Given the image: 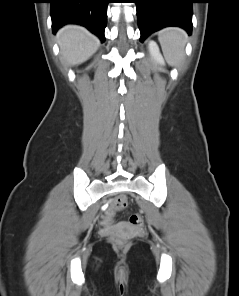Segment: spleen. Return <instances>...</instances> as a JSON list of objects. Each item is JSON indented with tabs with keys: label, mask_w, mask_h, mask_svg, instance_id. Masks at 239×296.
<instances>
[{
	"label": "spleen",
	"mask_w": 239,
	"mask_h": 296,
	"mask_svg": "<svg viewBox=\"0 0 239 296\" xmlns=\"http://www.w3.org/2000/svg\"><path fill=\"white\" fill-rule=\"evenodd\" d=\"M158 39L166 61L171 66H178L185 55V31L179 28H166L159 32Z\"/></svg>",
	"instance_id": "1"
}]
</instances>
